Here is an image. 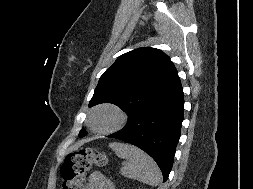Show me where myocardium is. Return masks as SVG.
<instances>
[{
  "instance_id": "1",
  "label": "myocardium",
  "mask_w": 253,
  "mask_h": 189,
  "mask_svg": "<svg viewBox=\"0 0 253 189\" xmlns=\"http://www.w3.org/2000/svg\"><path fill=\"white\" fill-rule=\"evenodd\" d=\"M103 110L111 111L115 115L116 120H115V123L107 129H97L94 127L93 119L97 113H99L100 111H103ZM125 122H126L125 113L118 106H116L114 104H110V103L101 104V105L95 107L90 112V115L88 118L89 128L93 132H95L97 134H101V135L111 134V133H114V132L120 130L124 126Z\"/></svg>"
}]
</instances>
